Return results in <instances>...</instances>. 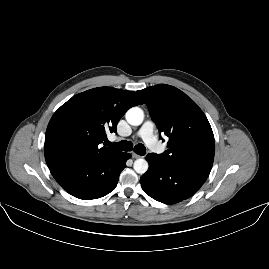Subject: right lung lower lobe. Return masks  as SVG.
Segmentation results:
<instances>
[{
	"mask_svg": "<svg viewBox=\"0 0 269 269\" xmlns=\"http://www.w3.org/2000/svg\"><path fill=\"white\" fill-rule=\"evenodd\" d=\"M130 154L116 151L91 161L59 163L50 167L60 186L71 195L91 200L113 191Z\"/></svg>",
	"mask_w": 269,
	"mask_h": 269,
	"instance_id": "98d812e1",
	"label": "right lung lower lobe"
}]
</instances>
